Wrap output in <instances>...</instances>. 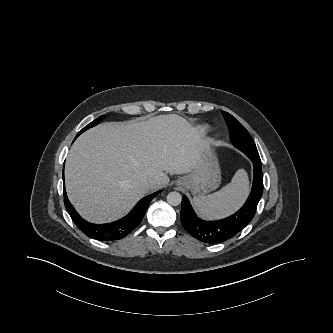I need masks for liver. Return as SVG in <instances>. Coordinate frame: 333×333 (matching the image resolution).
<instances>
[{
	"label": "liver",
	"instance_id": "6515ba94",
	"mask_svg": "<svg viewBox=\"0 0 333 333\" xmlns=\"http://www.w3.org/2000/svg\"><path fill=\"white\" fill-rule=\"evenodd\" d=\"M209 144L198 128L176 114L100 124L69 151L68 197L84 219L114 221L149 191L168 184L167 173L190 172ZM150 179L156 184L150 185Z\"/></svg>",
	"mask_w": 333,
	"mask_h": 333
}]
</instances>
